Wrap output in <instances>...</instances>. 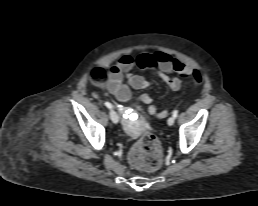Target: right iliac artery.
Instances as JSON below:
<instances>
[{
	"mask_svg": "<svg viewBox=\"0 0 258 206\" xmlns=\"http://www.w3.org/2000/svg\"><path fill=\"white\" fill-rule=\"evenodd\" d=\"M104 104H105V106H106L107 108H110V109L112 108V104H111V103L105 102Z\"/></svg>",
	"mask_w": 258,
	"mask_h": 206,
	"instance_id": "82829eb1",
	"label": "right iliac artery"
}]
</instances>
